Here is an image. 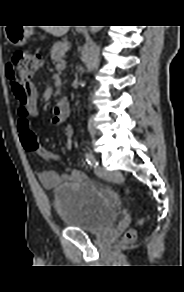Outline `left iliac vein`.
Wrapping results in <instances>:
<instances>
[{"instance_id": "obj_1", "label": "left iliac vein", "mask_w": 184, "mask_h": 292, "mask_svg": "<svg viewBox=\"0 0 184 292\" xmlns=\"http://www.w3.org/2000/svg\"><path fill=\"white\" fill-rule=\"evenodd\" d=\"M95 172L100 178L105 179V180H111L117 176L116 172L108 171L104 167H96Z\"/></svg>"}]
</instances>
